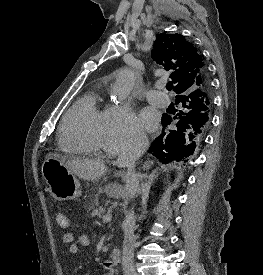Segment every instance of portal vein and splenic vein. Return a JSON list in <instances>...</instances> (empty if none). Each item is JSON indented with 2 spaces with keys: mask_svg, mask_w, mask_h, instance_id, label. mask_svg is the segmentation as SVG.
<instances>
[{
  "mask_svg": "<svg viewBox=\"0 0 263 275\" xmlns=\"http://www.w3.org/2000/svg\"><path fill=\"white\" fill-rule=\"evenodd\" d=\"M102 220H103L104 223L110 222L112 220L111 214H109V213L106 214L105 216H103Z\"/></svg>",
  "mask_w": 263,
  "mask_h": 275,
  "instance_id": "1",
  "label": "portal vein and splenic vein"
}]
</instances>
